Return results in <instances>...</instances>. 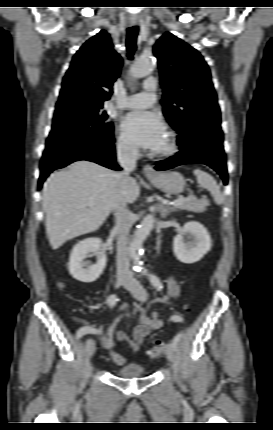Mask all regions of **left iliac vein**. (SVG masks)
Instances as JSON below:
<instances>
[{
	"mask_svg": "<svg viewBox=\"0 0 273 430\" xmlns=\"http://www.w3.org/2000/svg\"><path fill=\"white\" fill-rule=\"evenodd\" d=\"M125 288L139 301L144 302L147 299L148 293L143 285L135 278L128 279ZM165 355L169 361L174 359V348L172 344H168L165 348Z\"/></svg>",
	"mask_w": 273,
	"mask_h": 430,
	"instance_id": "4c4485c4",
	"label": "left iliac vein"
}]
</instances>
